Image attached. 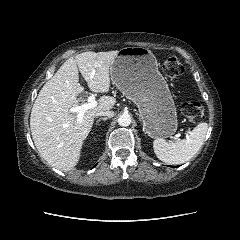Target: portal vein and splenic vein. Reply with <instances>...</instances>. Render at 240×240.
<instances>
[{"mask_svg":"<svg viewBox=\"0 0 240 240\" xmlns=\"http://www.w3.org/2000/svg\"><path fill=\"white\" fill-rule=\"evenodd\" d=\"M94 73L91 74V78H93ZM97 105V102L95 100V96L94 95H90L88 97V102L84 103L82 105H76L73 106L69 109V112L71 113H77V121L81 122L83 119V115L85 113V111H87L88 109H91L93 107H95ZM180 134H177L175 137H173L174 139H179Z\"/></svg>","mask_w":240,"mask_h":240,"instance_id":"1","label":"portal vein and splenic vein"}]
</instances>
